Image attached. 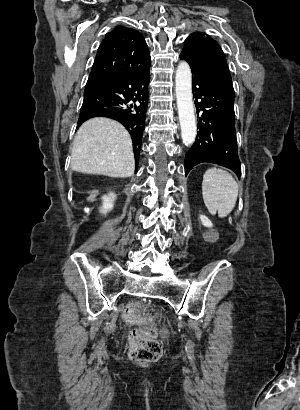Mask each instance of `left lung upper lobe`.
I'll return each mask as SVG.
<instances>
[{
	"label": "left lung upper lobe",
	"mask_w": 300,
	"mask_h": 410,
	"mask_svg": "<svg viewBox=\"0 0 300 410\" xmlns=\"http://www.w3.org/2000/svg\"><path fill=\"white\" fill-rule=\"evenodd\" d=\"M180 55L194 69L223 80L234 90L225 55L209 35L201 32L189 35Z\"/></svg>",
	"instance_id": "5c2ea615"
}]
</instances>
